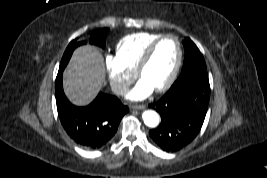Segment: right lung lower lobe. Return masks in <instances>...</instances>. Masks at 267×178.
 Segmentation results:
<instances>
[{
  "label": "right lung lower lobe",
  "mask_w": 267,
  "mask_h": 178,
  "mask_svg": "<svg viewBox=\"0 0 267 178\" xmlns=\"http://www.w3.org/2000/svg\"><path fill=\"white\" fill-rule=\"evenodd\" d=\"M63 70L59 68L55 81L61 124L77 145L86 149H100L112 139L122 117L129 111L128 107L117 97L102 92L88 106L73 105L63 91Z\"/></svg>",
  "instance_id": "98d812e1"
}]
</instances>
